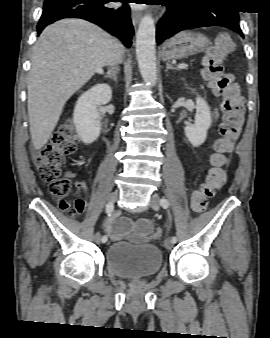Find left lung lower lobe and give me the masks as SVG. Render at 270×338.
Returning <instances> with one entry per match:
<instances>
[{
  "instance_id": "1",
  "label": "left lung lower lobe",
  "mask_w": 270,
  "mask_h": 338,
  "mask_svg": "<svg viewBox=\"0 0 270 338\" xmlns=\"http://www.w3.org/2000/svg\"><path fill=\"white\" fill-rule=\"evenodd\" d=\"M167 9L156 29L159 44L180 31L196 27L222 26L243 36L238 11L226 9L219 2L171 0Z\"/></svg>"
}]
</instances>
